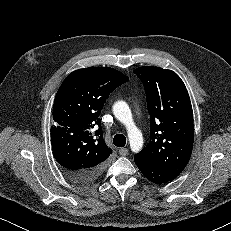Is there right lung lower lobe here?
<instances>
[{"label": "right lung lower lobe", "instance_id": "98d812e1", "mask_svg": "<svg viewBox=\"0 0 231 231\" xmlns=\"http://www.w3.org/2000/svg\"><path fill=\"white\" fill-rule=\"evenodd\" d=\"M103 167H98L89 171L69 172L66 171L67 176L76 183H88L97 178L102 172Z\"/></svg>", "mask_w": 231, "mask_h": 231}]
</instances>
